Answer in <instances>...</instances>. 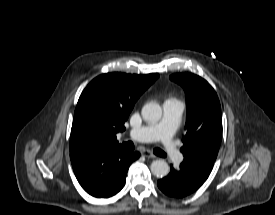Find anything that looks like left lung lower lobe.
<instances>
[{
    "label": "left lung lower lobe",
    "mask_w": 275,
    "mask_h": 215,
    "mask_svg": "<svg viewBox=\"0 0 275 215\" xmlns=\"http://www.w3.org/2000/svg\"><path fill=\"white\" fill-rule=\"evenodd\" d=\"M207 178L208 175L182 163L178 169H174L171 165L169 175L160 179L157 185L167 196L182 198L195 192Z\"/></svg>",
    "instance_id": "obj_1"
}]
</instances>
